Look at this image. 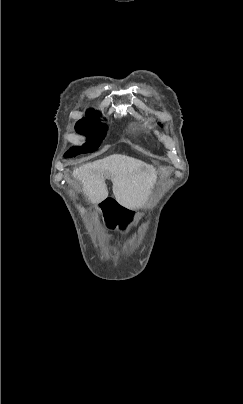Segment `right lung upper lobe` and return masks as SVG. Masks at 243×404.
Listing matches in <instances>:
<instances>
[{"instance_id": "cb5924a9", "label": "right lung upper lobe", "mask_w": 243, "mask_h": 404, "mask_svg": "<svg viewBox=\"0 0 243 404\" xmlns=\"http://www.w3.org/2000/svg\"><path fill=\"white\" fill-rule=\"evenodd\" d=\"M100 113L94 111L93 109H89L86 113L87 117H94V116H98Z\"/></svg>"}]
</instances>
